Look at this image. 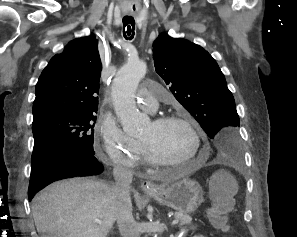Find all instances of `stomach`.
<instances>
[{
    "mask_svg": "<svg viewBox=\"0 0 297 237\" xmlns=\"http://www.w3.org/2000/svg\"><path fill=\"white\" fill-rule=\"evenodd\" d=\"M147 195L161 205L184 214L195 212L203 202L202 187L197 181L189 178H183L171 185H161L155 191H148Z\"/></svg>",
    "mask_w": 297,
    "mask_h": 237,
    "instance_id": "obj_1",
    "label": "stomach"
}]
</instances>
